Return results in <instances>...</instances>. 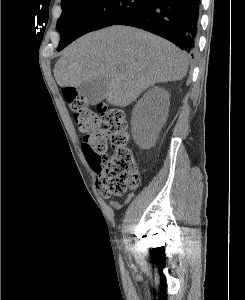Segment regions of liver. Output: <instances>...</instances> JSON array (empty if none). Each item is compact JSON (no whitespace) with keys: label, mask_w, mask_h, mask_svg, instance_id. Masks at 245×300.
<instances>
[{"label":"liver","mask_w":245,"mask_h":300,"mask_svg":"<svg viewBox=\"0 0 245 300\" xmlns=\"http://www.w3.org/2000/svg\"><path fill=\"white\" fill-rule=\"evenodd\" d=\"M188 66L187 56L169 41L115 25L88 33L67 47L55 64L54 77L62 88L107 77V102L126 107L150 86L183 79Z\"/></svg>","instance_id":"6515ba94"}]
</instances>
